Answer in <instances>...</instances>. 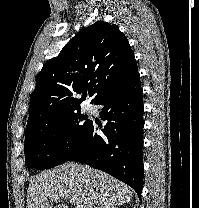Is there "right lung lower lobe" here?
<instances>
[{
  "mask_svg": "<svg viewBox=\"0 0 199 208\" xmlns=\"http://www.w3.org/2000/svg\"><path fill=\"white\" fill-rule=\"evenodd\" d=\"M94 104L103 105L100 117L107 120L101 127L104 135H97L96 123L91 121L67 161L84 162L105 171L130 185L141 198L144 107L140 75L107 91Z\"/></svg>",
  "mask_w": 199,
  "mask_h": 208,
  "instance_id": "right-lung-lower-lobe-1",
  "label": "right lung lower lobe"
}]
</instances>
